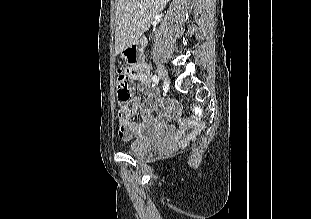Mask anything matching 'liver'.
<instances>
[{
    "label": "liver",
    "instance_id": "6515ba94",
    "mask_svg": "<svg viewBox=\"0 0 311 219\" xmlns=\"http://www.w3.org/2000/svg\"><path fill=\"white\" fill-rule=\"evenodd\" d=\"M170 0H116L115 54L134 44Z\"/></svg>",
    "mask_w": 311,
    "mask_h": 219
}]
</instances>
